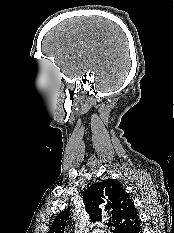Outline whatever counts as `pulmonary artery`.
<instances>
[{"label":"pulmonary artery","mask_w":174,"mask_h":233,"mask_svg":"<svg viewBox=\"0 0 174 233\" xmlns=\"http://www.w3.org/2000/svg\"><path fill=\"white\" fill-rule=\"evenodd\" d=\"M93 233H103V231L97 229V230H94Z\"/></svg>","instance_id":"pulmonary-artery-1"}]
</instances>
